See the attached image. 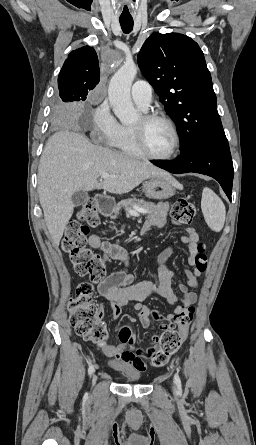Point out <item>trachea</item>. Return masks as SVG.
Wrapping results in <instances>:
<instances>
[{
	"mask_svg": "<svg viewBox=\"0 0 256 445\" xmlns=\"http://www.w3.org/2000/svg\"><path fill=\"white\" fill-rule=\"evenodd\" d=\"M120 25L123 32L128 34L133 29V20H120Z\"/></svg>",
	"mask_w": 256,
	"mask_h": 445,
	"instance_id": "obj_1",
	"label": "trachea"
}]
</instances>
